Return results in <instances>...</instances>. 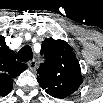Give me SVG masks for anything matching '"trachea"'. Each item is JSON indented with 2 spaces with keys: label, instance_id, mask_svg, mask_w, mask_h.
<instances>
[{
  "label": "trachea",
  "instance_id": "1",
  "mask_svg": "<svg viewBox=\"0 0 103 103\" xmlns=\"http://www.w3.org/2000/svg\"><path fill=\"white\" fill-rule=\"evenodd\" d=\"M33 58V52L30 46H24L17 54V60L27 62Z\"/></svg>",
  "mask_w": 103,
  "mask_h": 103
}]
</instances>
